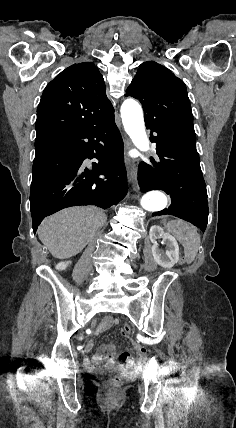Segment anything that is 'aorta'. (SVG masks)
I'll return each mask as SVG.
<instances>
[{
    "label": "aorta",
    "mask_w": 236,
    "mask_h": 428,
    "mask_svg": "<svg viewBox=\"0 0 236 428\" xmlns=\"http://www.w3.org/2000/svg\"><path fill=\"white\" fill-rule=\"evenodd\" d=\"M121 117L124 129L133 144L142 152L149 150V140L145 131L143 110L138 102L127 99L121 106ZM168 199L161 191H150L141 198V206L150 212H159L165 209Z\"/></svg>",
    "instance_id": "1"
}]
</instances>
